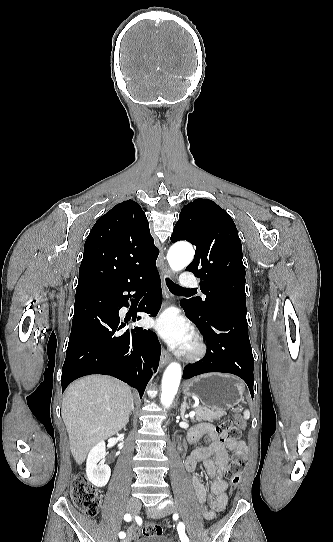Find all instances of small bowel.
<instances>
[{"instance_id": "obj_1", "label": "small bowel", "mask_w": 333, "mask_h": 542, "mask_svg": "<svg viewBox=\"0 0 333 542\" xmlns=\"http://www.w3.org/2000/svg\"><path fill=\"white\" fill-rule=\"evenodd\" d=\"M190 432L197 435V439L202 435H207L209 440L207 446L197 448L191 453L185 462V468L187 472L192 473L199 462L203 464L210 478L209 485L205 486L197 474L193 475L192 484L198 502L204 505V518L212 520L217 512L223 510L227 504L226 491L228 485L223 478L229 465L227 451L230 450L236 456L245 457L247 455V445L243 440L221 441L209 424H199ZM126 533L127 541L132 542L139 536L140 529L136 526H130Z\"/></svg>"}]
</instances>
